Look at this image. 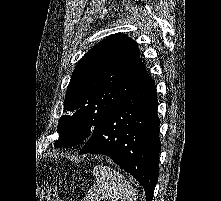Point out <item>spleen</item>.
Returning <instances> with one entry per match:
<instances>
[{
  "label": "spleen",
  "instance_id": "spleen-1",
  "mask_svg": "<svg viewBox=\"0 0 221 201\" xmlns=\"http://www.w3.org/2000/svg\"><path fill=\"white\" fill-rule=\"evenodd\" d=\"M96 181L83 201H137L136 190L119 172L98 165L93 169Z\"/></svg>",
  "mask_w": 221,
  "mask_h": 201
}]
</instances>
